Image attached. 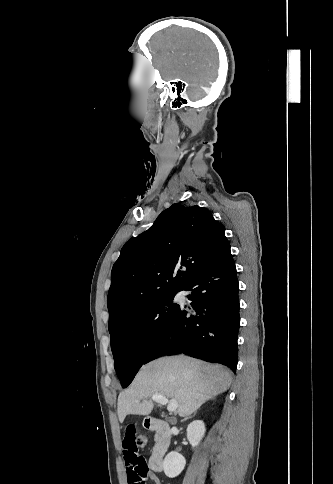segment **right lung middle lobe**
<instances>
[{
    "label": "right lung middle lobe",
    "instance_id": "1",
    "mask_svg": "<svg viewBox=\"0 0 333 484\" xmlns=\"http://www.w3.org/2000/svg\"><path fill=\"white\" fill-rule=\"evenodd\" d=\"M177 292L152 299L109 325L114 367L123 388L131 383L151 347L171 323L179 307L173 303Z\"/></svg>",
    "mask_w": 333,
    "mask_h": 484
}]
</instances>
